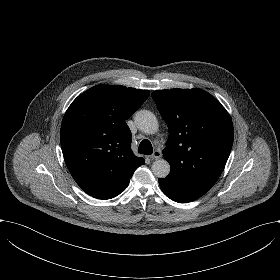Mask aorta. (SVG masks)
Masks as SVG:
<instances>
[{
  "label": "aorta",
  "mask_w": 280,
  "mask_h": 280,
  "mask_svg": "<svg viewBox=\"0 0 280 280\" xmlns=\"http://www.w3.org/2000/svg\"><path fill=\"white\" fill-rule=\"evenodd\" d=\"M135 122L144 133H155L158 128V120L154 113L149 110H140L135 113ZM152 173L158 178H165L170 173V165L165 159H157L151 167Z\"/></svg>",
  "instance_id": "1"
}]
</instances>
